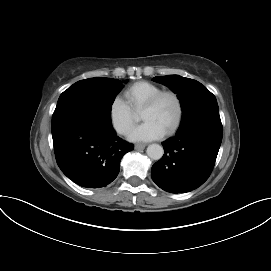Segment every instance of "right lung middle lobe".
Returning <instances> with one entry per match:
<instances>
[{
	"label": "right lung middle lobe",
	"instance_id": "obj_1",
	"mask_svg": "<svg viewBox=\"0 0 271 271\" xmlns=\"http://www.w3.org/2000/svg\"><path fill=\"white\" fill-rule=\"evenodd\" d=\"M122 87L120 80L103 77L76 82L60 95L52 116V130L90 117L111 122V106Z\"/></svg>",
	"mask_w": 271,
	"mask_h": 271
}]
</instances>
